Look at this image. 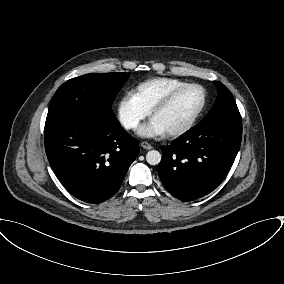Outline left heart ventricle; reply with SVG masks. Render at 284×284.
I'll list each match as a JSON object with an SVG mask.
<instances>
[{
	"instance_id": "1",
	"label": "left heart ventricle",
	"mask_w": 284,
	"mask_h": 284,
	"mask_svg": "<svg viewBox=\"0 0 284 284\" xmlns=\"http://www.w3.org/2000/svg\"><path fill=\"white\" fill-rule=\"evenodd\" d=\"M203 93L199 88L183 91L174 102L157 113L153 120L164 132L177 128L187 122L201 105Z\"/></svg>"
}]
</instances>
